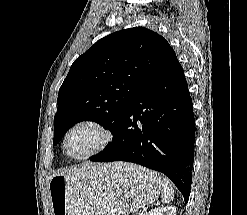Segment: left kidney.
Segmentation results:
<instances>
[{"label":"left kidney","mask_w":247,"mask_h":215,"mask_svg":"<svg viewBox=\"0 0 247 215\" xmlns=\"http://www.w3.org/2000/svg\"><path fill=\"white\" fill-rule=\"evenodd\" d=\"M148 215H176V208L174 206H162L152 209Z\"/></svg>","instance_id":"1"}]
</instances>
